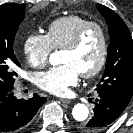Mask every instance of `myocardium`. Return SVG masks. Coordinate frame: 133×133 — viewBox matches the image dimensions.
<instances>
[{
    "mask_svg": "<svg viewBox=\"0 0 133 133\" xmlns=\"http://www.w3.org/2000/svg\"><path fill=\"white\" fill-rule=\"evenodd\" d=\"M93 28L97 29L101 36V41H102L101 53L96 66L87 72L81 73V76L87 79L97 76L104 69L107 63L108 54H109V36L106 28L98 22L89 21L85 25H83L78 30L73 39L66 46L63 47V50H68V51L76 50L81 45L86 33Z\"/></svg>",
    "mask_w": 133,
    "mask_h": 133,
    "instance_id": "1",
    "label": "myocardium"
}]
</instances>
